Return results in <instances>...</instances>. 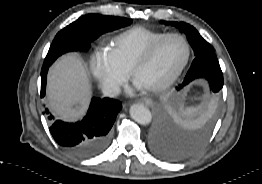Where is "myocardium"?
<instances>
[{
    "instance_id": "f54148a6",
    "label": "myocardium",
    "mask_w": 262,
    "mask_h": 184,
    "mask_svg": "<svg viewBox=\"0 0 262 184\" xmlns=\"http://www.w3.org/2000/svg\"><path fill=\"white\" fill-rule=\"evenodd\" d=\"M170 37H176L179 38L180 40L183 41L185 47H186V56L182 62V64L180 65V67L176 70V72L169 78L167 79L165 82H163L162 84L159 85H155V86H148V87H144L147 91L150 92H162L165 91L166 89H168L169 87H171L181 76V74L183 73V71L185 70L189 60H190V56H191V47L190 44L188 42V40L181 34L179 33H166L163 34L162 36H160L159 38H157L155 41H153L142 53L141 55L137 58V60L134 62L130 74L131 77L137 81V75L138 72L141 68H143L146 64H148V62L151 60L154 52L156 51V49L158 48V46L167 38Z\"/></svg>"
}]
</instances>
